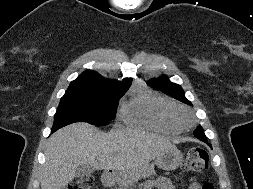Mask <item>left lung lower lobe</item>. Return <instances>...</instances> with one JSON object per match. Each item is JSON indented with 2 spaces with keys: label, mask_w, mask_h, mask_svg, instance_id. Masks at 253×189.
<instances>
[{
  "label": "left lung lower lobe",
  "mask_w": 253,
  "mask_h": 189,
  "mask_svg": "<svg viewBox=\"0 0 253 189\" xmlns=\"http://www.w3.org/2000/svg\"><path fill=\"white\" fill-rule=\"evenodd\" d=\"M195 137H197L198 139H200L201 141L207 143V139L206 136L198 134V133H194ZM210 147H212L210 144H208Z\"/></svg>",
  "instance_id": "left-lung-lower-lobe-1"
}]
</instances>
